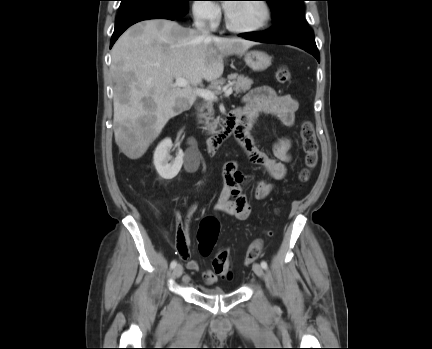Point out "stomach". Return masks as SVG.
I'll return each mask as SVG.
<instances>
[{
	"mask_svg": "<svg viewBox=\"0 0 432 349\" xmlns=\"http://www.w3.org/2000/svg\"><path fill=\"white\" fill-rule=\"evenodd\" d=\"M246 64L254 71H264L271 65V57L262 51H250L244 55Z\"/></svg>",
	"mask_w": 432,
	"mask_h": 349,
	"instance_id": "1",
	"label": "stomach"
}]
</instances>
